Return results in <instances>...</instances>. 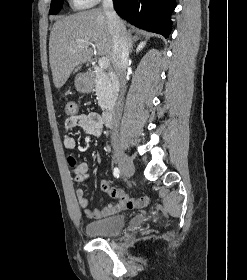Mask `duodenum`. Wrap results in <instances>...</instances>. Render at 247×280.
Returning <instances> with one entry per match:
<instances>
[{
  "label": "duodenum",
  "instance_id": "obj_1",
  "mask_svg": "<svg viewBox=\"0 0 247 280\" xmlns=\"http://www.w3.org/2000/svg\"><path fill=\"white\" fill-rule=\"evenodd\" d=\"M92 75V74H90ZM115 115H116V108L115 107H109L103 112V121L106 126H112L115 121Z\"/></svg>",
  "mask_w": 247,
  "mask_h": 280
}]
</instances>
